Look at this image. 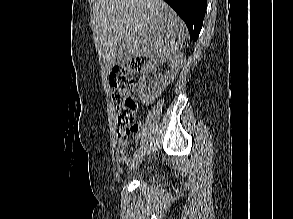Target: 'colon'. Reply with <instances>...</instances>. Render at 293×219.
I'll return each mask as SVG.
<instances>
[{"label":"colon","mask_w":293,"mask_h":219,"mask_svg":"<svg viewBox=\"0 0 293 219\" xmlns=\"http://www.w3.org/2000/svg\"><path fill=\"white\" fill-rule=\"evenodd\" d=\"M143 61L133 58L116 66L109 76L111 97L117 105L118 130L125 135L138 130L136 122L138 105L134 99L136 77L141 71Z\"/></svg>","instance_id":"5ec220e1"}]
</instances>
